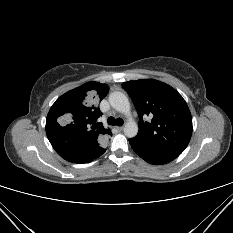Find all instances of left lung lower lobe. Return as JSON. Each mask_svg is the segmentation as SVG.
Listing matches in <instances>:
<instances>
[{
	"label": "left lung lower lobe",
	"instance_id": "left-lung-lower-lobe-1",
	"mask_svg": "<svg viewBox=\"0 0 233 233\" xmlns=\"http://www.w3.org/2000/svg\"><path fill=\"white\" fill-rule=\"evenodd\" d=\"M129 143L135 153L150 164L162 165L169 163L178 157V155L176 154H171L150 148L135 140L134 138L129 139Z\"/></svg>",
	"mask_w": 233,
	"mask_h": 233
}]
</instances>
